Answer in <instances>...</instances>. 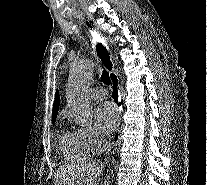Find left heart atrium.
<instances>
[{"label":"left heart atrium","mask_w":207,"mask_h":185,"mask_svg":"<svg viewBox=\"0 0 207 185\" xmlns=\"http://www.w3.org/2000/svg\"><path fill=\"white\" fill-rule=\"evenodd\" d=\"M119 118L116 107L111 103L101 104L95 111V121L97 127L103 133H110L117 125Z\"/></svg>","instance_id":"1"}]
</instances>
